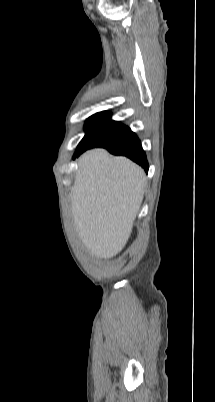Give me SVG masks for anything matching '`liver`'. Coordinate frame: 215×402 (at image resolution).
I'll list each match as a JSON object with an SVG mask.
<instances>
[{"label":"liver","mask_w":215,"mask_h":402,"mask_svg":"<svg viewBox=\"0 0 215 402\" xmlns=\"http://www.w3.org/2000/svg\"><path fill=\"white\" fill-rule=\"evenodd\" d=\"M144 170L105 149L85 152L71 188V210L78 236L98 258H112L125 247L141 207Z\"/></svg>","instance_id":"6515ba94"}]
</instances>
